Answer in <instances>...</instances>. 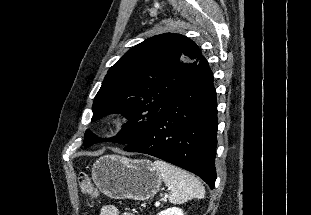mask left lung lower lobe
<instances>
[{"label":"left lung lower lobe","mask_w":311,"mask_h":215,"mask_svg":"<svg viewBox=\"0 0 311 215\" xmlns=\"http://www.w3.org/2000/svg\"><path fill=\"white\" fill-rule=\"evenodd\" d=\"M217 102L213 74L202 56L185 85L124 150L155 156L202 178L216 180Z\"/></svg>","instance_id":"left-lung-lower-lobe-1"}]
</instances>
